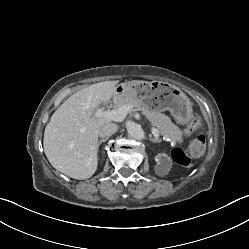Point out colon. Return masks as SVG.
<instances>
[{
	"label": "colon",
	"mask_w": 249,
	"mask_h": 249,
	"mask_svg": "<svg viewBox=\"0 0 249 249\" xmlns=\"http://www.w3.org/2000/svg\"><path fill=\"white\" fill-rule=\"evenodd\" d=\"M202 127V119L197 114L191 117L189 126L185 129L184 134L190 136ZM205 137L203 135L195 136L188 145V154L193 158L202 156L205 152ZM173 160L183 166L190 164L189 156L181 149H174L172 151Z\"/></svg>",
	"instance_id": "colon-1"
}]
</instances>
